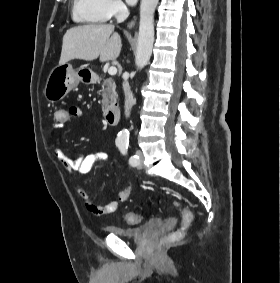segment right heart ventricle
<instances>
[{
  "label": "right heart ventricle",
  "mask_w": 280,
  "mask_h": 283,
  "mask_svg": "<svg viewBox=\"0 0 280 283\" xmlns=\"http://www.w3.org/2000/svg\"><path fill=\"white\" fill-rule=\"evenodd\" d=\"M72 17L79 23L99 24L108 17L103 10V0H73Z\"/></svg>",
  "instance_id": "right-heart-ventricle-1"
}]
</instances>
